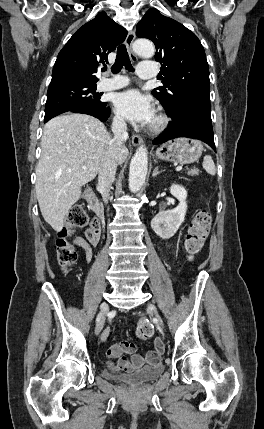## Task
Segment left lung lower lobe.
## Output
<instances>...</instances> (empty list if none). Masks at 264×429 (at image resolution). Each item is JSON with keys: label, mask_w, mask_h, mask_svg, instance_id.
Masks as SVG:
<instances>
[{"label": "left lung lower lobe", "mask_w": 264, "mask_h": 429, "mask_svg": "<svg viewBox=\"0 0 264 429\" xmlns=\"http://www.w3.org/2000/svg\"><path fill=\"white\" fill-rule=\"evenodd\" d=\"M166 114L171 117L172 122L162 135L154 139L153 144L189 137L206 142L216 151L210 101L183 99L175 111H166Z\"/></svg>", "instance_id": "left-lung-lower-lobe-1"}]
</instances>
